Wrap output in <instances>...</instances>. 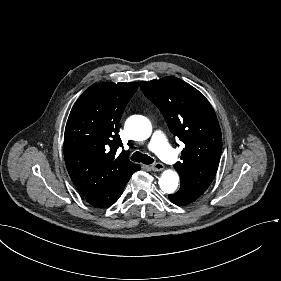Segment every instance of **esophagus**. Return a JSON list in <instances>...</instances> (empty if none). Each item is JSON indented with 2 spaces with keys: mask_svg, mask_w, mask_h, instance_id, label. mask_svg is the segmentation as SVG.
Masks as SVG:
<instances>
[{
  "mask_svg": "<svg viewBox=\"0 0 281 281\" xmlns=\"http://www.w3.org/2000/svg\"><path fill=\"white\" fill-rule=\"evenodd\" d=\"M151 169L153 171H162L164 169V165L162 163H155L154 165L151 166Z\"/></svg>",
  "mask_w": 281,
  "mask_h": 281,
  "instance_id": "34e87169",
  "label": "esophagus"
}]
</instances>
